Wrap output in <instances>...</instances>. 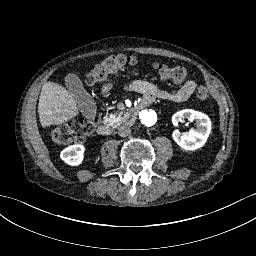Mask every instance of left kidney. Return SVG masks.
<instances>
[{
  "label": "left kidney",
  "mask_w": 256,
  "mask_h": 256,
  "mask_svg": "<svg viewBox=\"0 0 256 256\" xmlns=\"http://www.w3.org/2000/svg\"><path fill=\"white\" fill-rule=\"evenodd\" d=\"M184 119H187L189 122L195 121L197 128L185 134L176 130L173 132V138L182 149L186 151H196L207 142L211 133V119L208 115L191 109L178 111L172 117L174 125H178V123L182 122Z\"/></svg>",
  "instance_id": "left-kidney-1"
}]
</instances>
